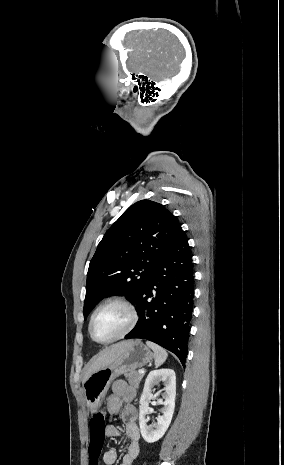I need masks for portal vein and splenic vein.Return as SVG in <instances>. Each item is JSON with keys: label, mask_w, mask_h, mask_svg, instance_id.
Here are the masks:
<instances>
[{"label": "portal vein and splenic vein", "mask_w": 284, "mask_h": 465, "mask_svg": "<svg viewBox=\"0 0 284 465\" xmlns=\"http://www.w3.org/2000/svg\"><path fill=\"white\" fill-rule=\"evenodd\" d=\"M138 373H145V371H142V369H139Z\"/></svg>", "instance_id": "obj_1"}]
</instances>
